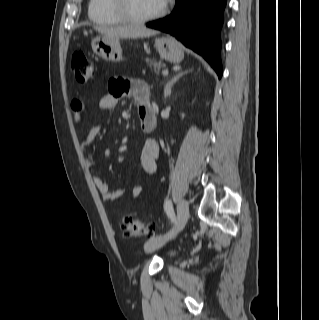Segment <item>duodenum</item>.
<instances>
[{"label":"duodenum","instance_id":"obj_1","mask_svg":"<svg viewBox=\"0 0 319 320\" xmlns=\"http://www.w3.org/2000/svg\"><path fill=\"white\" fill-rule=\"evenodd\" d=\"M138 115L144 130L150 131L156 127V112L152 106L141 109Z\"/></svg>","mask_w":319,"mask_h":320}]
</instances>
